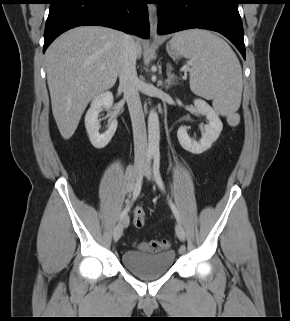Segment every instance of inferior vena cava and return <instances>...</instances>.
I'll return each instance as SVG.
<instances>
[{
	"label": "inferior vena cava",
	"mask_w": 290,
	"mask_h": 321,
	"mask_svg": "<svg viewBox=\"0 0 290 321\" xmlns=\"http://www.w3.org/2000/svg\"><path fill=\"white\" fill-rule=\"evenodd\" d=\"M136 59V42L132 36L125 35L121 45L119 87L124 93L131 117L135 157L144 158L147 155L148 144L144 113L138 92Z\"/></svg>",
	"instance_id": "inferior-vena-cava-1"
}]
</instances>
